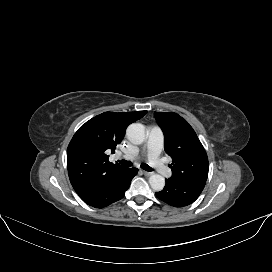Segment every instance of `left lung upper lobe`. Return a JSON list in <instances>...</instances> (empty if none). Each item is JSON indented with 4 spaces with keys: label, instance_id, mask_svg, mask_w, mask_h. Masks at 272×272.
Returning a JSON list of instances; mask_svg holds the SVG:
<instances>
[{
    "label": "left lung upper lobe",
    "instance_id": "1",
    "mask_svg": "<svg viewBox=\"0 0 272 272\" xmlns=\"http://www.w3.org/2000/svg\"><path fill=\"white\" fill-rule=\"evenodd\" d=\"M164 133L165 152L172 158L170 181H205L208 157L193 128L176 113L155 112Z\"/></svg>",
    "mask_w": 272,
    "mask_h": 272
}]
</instances>
